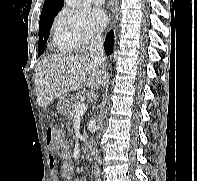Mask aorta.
Instances as JSON below:
<instances>
[{
  "mask_svg": "<svg viewBox=\"0 0 197 181\" xmlns=\"http://www.w3.org/2000/svg\"><path fill=\"white\" fill-rule=\"evenodd\" d=\"M64 2L68 7L75 9L79 7L81 0H64Z\"/></svg>",
  "mask_w": 197,
  "mask_h": 181,
  "instance_id": "aorta-1",
  "label": "aorta"
}]
</instances>
